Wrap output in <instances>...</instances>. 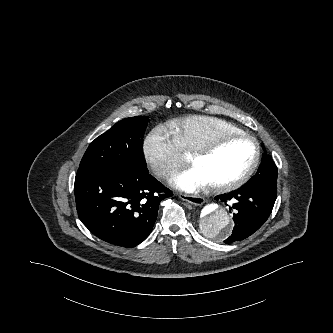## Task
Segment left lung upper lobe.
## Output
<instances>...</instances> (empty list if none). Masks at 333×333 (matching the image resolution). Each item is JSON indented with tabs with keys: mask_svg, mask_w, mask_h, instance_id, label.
Instances as JSON below:
<instances>
[{
	"mask_svg": "<svg viewBox=\"0 0 333 333\" xmlns=\"http://www.w3.org/2000/svg\"><path fill=\"white\" fill-rule=\"evenodd\" d=\"M245 186L277 189V167L271 156L266 153L263 154L257 173L245 184Z\"/></svg>",
	"mask_w": 333,
	"mask_h": 333,
	"instance_id": "1",
	"label": "left lung upper lobe"
}]
</instances>
